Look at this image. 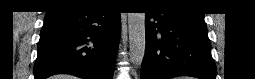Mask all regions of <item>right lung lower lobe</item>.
<instances>
[{
    "label": "right lung lower lobe",
    "mask_w": 255,
    "mask_h": 79,
    "mask_svg": "<svg viewBox=\"0 0 255 79\" xmlns=\"http://www.w3.org/2000/svg\"><path fill=\"white\" fill-rule=\"evenodd\" d=\"M120 37V13L103 6L48 12L40 33L34 79L67 73L112 79Z\"/></svg>",
    "instance_id": "98d812e1"
}]
</instances>
